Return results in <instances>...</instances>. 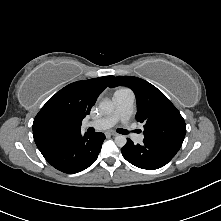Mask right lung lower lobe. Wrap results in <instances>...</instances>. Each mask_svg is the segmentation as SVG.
Segmentation results:
<instances>
[{
    "mask_svg": "<svg viewBox=\"0 0 221 221\" xmlns=\"http://www.w3.org/2000/svg\"><path fill=\"white\" fill-rule=\"evenodd\" d=\"M104 139V134L100 132L84 136L76 132L57 139L41 153L54 168L73 174L96 161Z\"/></svg>",
    "mask_w": 221,
    "mask_h": 221,
    "instance_id": "1",
    "label": "right lung lower lobe"
}]
</instances>
